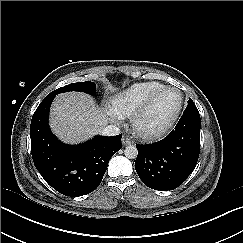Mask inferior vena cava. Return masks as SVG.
Instances as JSON below:
<instances>
[{
  "instance_id": "obj_1",
  "label": "inferior vena cava",
  "mask_w": 243,
  "mask_h": 243,
  "mask_svg": "<svg viewBox=\"0 0 243 243\" xmlns=\"http://www.w3.org/2000/svg\"><path fill=\"white\" fill-rule=\"evenodd\" d=\"M120 133V129L116 125H108L103 128L101 134L103 136H115Z\"/></svg>"
}]
</instances>
